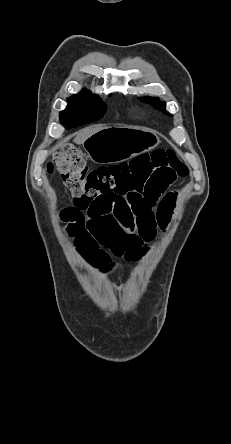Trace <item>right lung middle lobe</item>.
I'll return each instance as SVG.
<instances>
[{"instance_id": "1", "label": "right lung middle lobe", "mask_w": 231, "mask_h": 444, "mask_svg": "<svg viewBox=\"0 0 231 444\" xmlns=\"http://www.w3.org/2000/svg\"><path fill=\"white\" fill-rule=\"evenodd\" d=\"M106 105L93 94L74 95L65 110L60 112V120L66 128L95 122L105 112Z\"/></svg>"}]
</instances>
